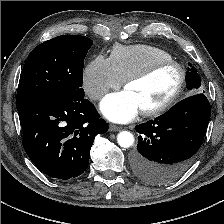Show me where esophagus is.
I'll use <instances>...</instances> for the list:
<instances>
[{"instance_id": "esophagus-1", "label": "esophagus", "mask_w": 224, "mask_h": 224, "mask_svg": "<svg viewBox=\"0 0 224 224\" xmlns=\"http://www.w3.org/2000/svg\"><path fill=\"white\" fill-rule=\"evenodd\" d=\"M121 129V127L120 126H117V125H110L109 126V130L111 131V132H113V131H119Z\"/></svg>"}]
</instances>
